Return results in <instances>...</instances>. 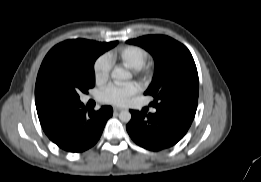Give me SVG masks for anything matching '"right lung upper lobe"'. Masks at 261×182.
Instances as JSON below:
<instances>
[{"mask_svg":"<svg viewBox=\"0 0 261 182\" xmlns=\"http://www.w3.org/2000/svg\"><path fill=\"white\" fill-rule=\"evenodd\" d=\"M92 42H96V41H90V40H85V39H74V40L64 41V42L58 44L57 46L58 47H69V48H81V47L89 45ZM35 103H36V109H37L39 118L43 117L48 112H50L52 109L59 106L55 103H52V102L44 99L36 91H35Z\"/></svg>","mask_w":261,"mask_h":182,"instance_id":"right-lung-upper-lobe-1","label":"right lung upper lobe"}]
</instances>
